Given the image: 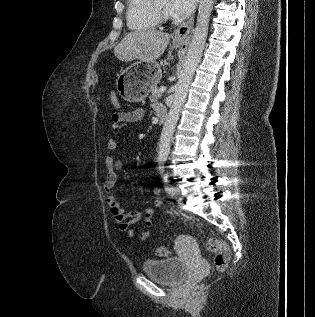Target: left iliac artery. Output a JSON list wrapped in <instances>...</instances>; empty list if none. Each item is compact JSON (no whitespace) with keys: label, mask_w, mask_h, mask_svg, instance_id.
<instances>
[{"label":"left iliac artery","mask_w":315,"mask_h":317,"mask_svg":"<svg viewBox=\"0 0 315 317\" xmlns=\"http://www.w3.org/2000/svg\"><path fill=\"white\" fill-rule=\"evenodd\" d=\"M160 173H161V175L164 177V179L167 181V176L164 175V169H163V167H160ZM165 190H166V191H170V190H171V187H170L169 185H166V186H165Z\"/></svg>","instance_id":"1"}]
</instances>
